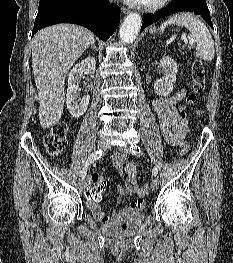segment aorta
Masks as SVG:
<instances>
[{"label":"aorta","instance_id":"1","mask_svg":"<svg viewBox=\"0 0 233 263\" xmlns=\"http://www.w3.org/2000/svg\"><path fill=\"white\" fill-rule=\"evenodd\" d=\"M141 16L138 13H130L125 18L119 30V37L123 43H132L141 28Z\"/></svg>","mask_w":233,"mask_h":263}]
</instances>
